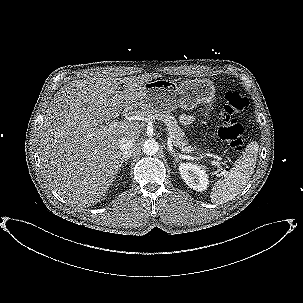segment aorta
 Here are the masks:
<instances>
[{"mask_svg":"<svg viewBox=\"0 0 303 303\" xmlns=\"http://www.w3.org/2000/svg\"><path fill=\"white\" fill-rule=\"evenodd\" d=\"M142 150L148 156L155 155L159 150V144L154 139H148L144 142Z\"/></svg>","mask_w":303,"mask_h":303,"instance_id":"obj_1","label":"aorta"}]
</instances>
